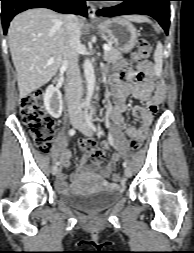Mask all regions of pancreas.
<instances>
[{"instance_id": "1", "label": "pancreas", "mask_w": 194, "mask_h": 253, "mask_svg": "<svg viewBox=\"0 0 194 253\" xmlns=\"http://www.w3.org/2000/svg\"><path fill=\"white\" fill-rule=\"evenodd\" d=\"M109 47H110L109 51H104L103 55L104 60L108 63H116L120 61L122 59V53L111 46Z\"/></svg>"}]
</instances>
